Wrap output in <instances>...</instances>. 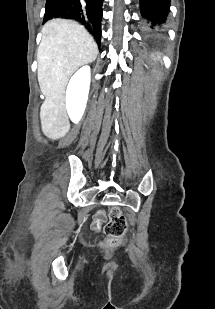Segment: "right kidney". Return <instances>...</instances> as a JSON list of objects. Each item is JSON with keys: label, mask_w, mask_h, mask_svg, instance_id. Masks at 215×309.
Returning a JSON list of instances; mask_svg holds the SVG:
<instances>
[{"label": "right kidney", "mask_w": 215, "mask_h": 309, "mask_svg": "<svg viewBox=\"0 0 215 309\" xmlns=\"http://www.w3.org/2000/svg\"><path fill=\"white\" fill-rule=\"evenodd\" d=\"M90 66L79 68L69 80L66 90V108L73 122H79L86 108L90 88Z\"/></svg>", "instance_id": "ca27d5eb"}]
</instances>
